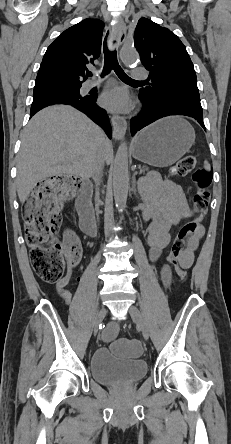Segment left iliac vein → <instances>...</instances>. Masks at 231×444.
<instances>
[{"instance_id": "obj_1", "label": "left iliac vein", "mask_w": 231, "mask_h": 444, "mask_svg": "<svg viewBox=\"0 0 231 444\" xmlns=\"http://www.w3.org/2000/svg\"><path fill=\"white\" fill-rule=\"evenodd\" d=\"M129 314L133 322L140 328L144 339L147 340L149 338V330L139 309L136 306L132 305L129 308Z\"/></svg>"}]
</instances>
